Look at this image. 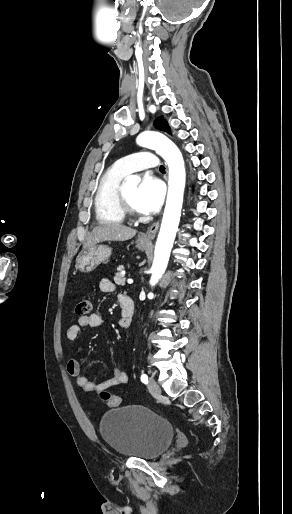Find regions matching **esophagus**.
I'll return each instance as SVG.
<instances>
[{
	"instance_id": "esophagus-1",
	"label": "esophagus",
	"mask_w": 292,
	"mask_h": 514,
	"mask_svg": "<svg viewBox=\"0 0 292 514\" xmlns=\"http://www.w3.org/2000/svg\"><path fill=\"white\" fill-rule=\"evenodd\" d=\"M158 228H159V221L154 222V224H152L148 228V230L139 237L140 242L150 243L154 239Z\"/></svg>"
}]
</instances>
